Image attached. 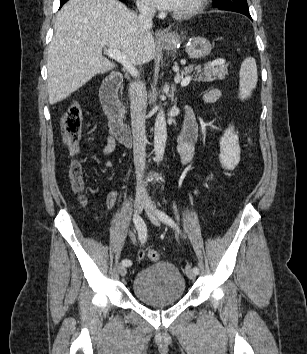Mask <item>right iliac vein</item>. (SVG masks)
<instances>
[{
  "instance_id": "63e3f726",
  "label": "right iliac vein",
  "mask_w": 307,
  "mask_h": 354,
  "mask_svg": "<svg viewBox=\"0 0 307 354\" xmlns=\"http://www.w3.org/2000/svg\"><path fill=\"white\" fill-rule=\"evenodd\" d=\"M145 205V199L141 196L136 197L135 202H134V209L136 215L139 216V214L142 212V209ZM119 273L121 276H125L127 274V266L120 264L119 265Z\"/></svg>"
}]
</instances>
